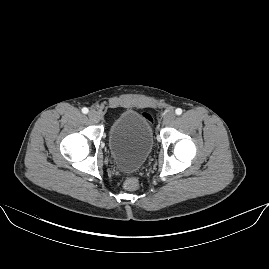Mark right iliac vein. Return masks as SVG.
<instances>
[{
  "mask_svg": "<svg viewBox=\"0 0 269 269\" xmlns=\"http://www.w3.org/2000/svg\"><path fill=\"white\" fill-rule=\"evenodd\" d=\"M88 117L90 118L91 121L94 123H98L100 120V115L96 110H91L88 112Z\"/></svg>",
  "mask_w": 269,
  "mask_h": 269,
  "instance_id": "63e3f726",
  "label": "right iliac vein"
}]
</instances>
